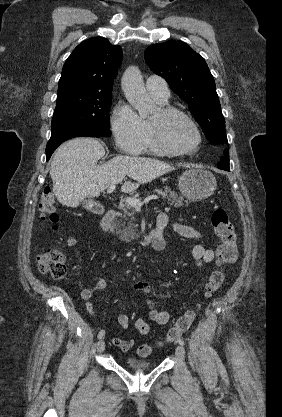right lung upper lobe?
<instances>
[{
    "label": "right lung upper lobe",
    "mask_w": 282,
    "mask_h": 417,
    "mask_svg": "<svg viewBox=\"0 0 282 417\" xmlns=\"http://www.w3.org/2000/svg\"><path fill=\"white\" fill-rule=\"evenodd\" d=\"M122 60V50L108 39L94 37L80 43L66 60L58 93L70 91L112 92Z\"/></svg>",
    "instance_id": "right-lung-upper-lobe-1"
}]
</instances>
